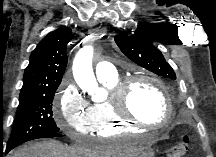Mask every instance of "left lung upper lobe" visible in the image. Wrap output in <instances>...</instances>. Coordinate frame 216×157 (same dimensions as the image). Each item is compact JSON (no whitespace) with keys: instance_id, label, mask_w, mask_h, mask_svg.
Here are the masks:
<instances>
[{"instance_id":"obj_1","label":"left lung upper lobe","mask_w":216,"mask_h":157,"mask_svg":"<svg viewBox=\"0 0 216 157\" xmlns=\"http://www.w3.org/2000/svg\"><path fill=\"white\" fill-rule=\"evenodd\" d=\"M114 40L131 61L159 76L176 79L174 70L155 47L150 33L118 34Z\"/></svg>"}]
</instances>
